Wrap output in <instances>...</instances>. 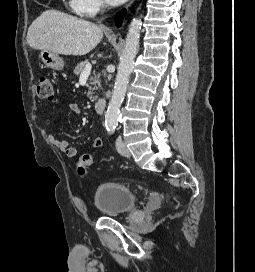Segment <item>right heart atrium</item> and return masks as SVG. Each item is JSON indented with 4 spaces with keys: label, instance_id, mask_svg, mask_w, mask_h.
<instances>
[{
    "label": "right heart atrium",
    "instance_id": "1",
    "mask_svg": "<svg viewBox=\"0 0 255 272\" xmlns=\"http://www.w3.org/2000/svg\"><path fill=\"white\" fill-rule=\"evenodd\" d=\"M70 7L78 15L92 17L103 9L104 3L103 0H70Z\"/></svg>",
    "mask_w": 255,
    "mask_h": 272
}]
</instances>
